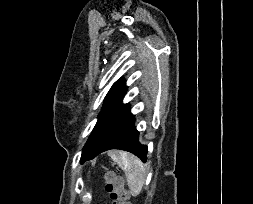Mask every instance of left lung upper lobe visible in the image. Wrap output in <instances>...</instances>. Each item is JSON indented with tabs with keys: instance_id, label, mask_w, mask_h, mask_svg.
I'll list each match as a JSON object with an SVG mask.
<instances>
[{
	"instance_id": "left-lung-upper-lobe-1",
	"label": "left lung upper lobe",
	"mask_w": 253,
	"mask_h": 204,
	"mask_svg": "<svg viewBox=\"0 0 253 204\" xmlns=\"http://www.w3.org/2000/svg\"><path fill=\"white\" fill-rule=\"evenodd\" d=\"M126 91L127 87L125 86V82L123 80L119 79L117 82H115L106 96L104 105L100 113L111 109L119 102H121Z\"/></svg>"
}]
</instances>
